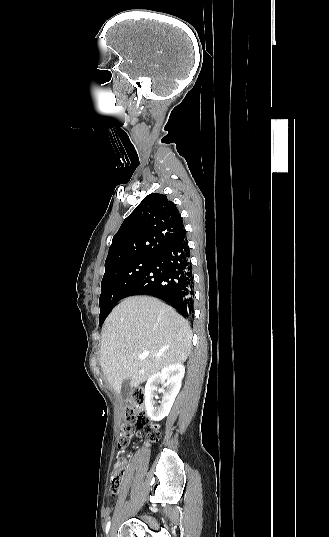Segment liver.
I'll return each instance as SVG.
<instances>
[{"label": "liver", "mask_w": 329, "mask_h": 537, "mask_svg": "<svg viewBox=\"0 0 329 537\" xmlns=\"http://www.w3.org/2000/svg\"><path fill=\"white\" fill-rule=\"evenodd\" d=\"M192 341L189 323L172 307L149 296L117 305L102 329L100 365L120 394L124 380L136 388L161 369L186 361ZM149 353L144 360L139 354Z\"/></svg>", "instance_id": "6515ba94"}]
</instances>
